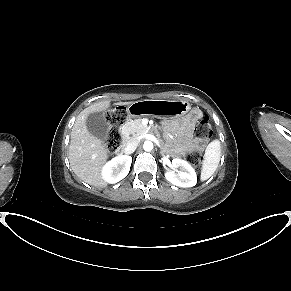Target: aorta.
<instances>
[{"label": "aorta", "instance_id": "obj_1", "mask_svg": "<svg viewBox=\"0 0 291 291\" xmlns=\"http://www.w3.org/2000/svg\"><path fill=\"white\" fill-rule=\"evenodd\" d=\"M143 149L145 151H151L153 149V143L151 141H145L143 144Z\"/></svg>", "mask_w": 291, "mask_h": 291}]
</instances>
